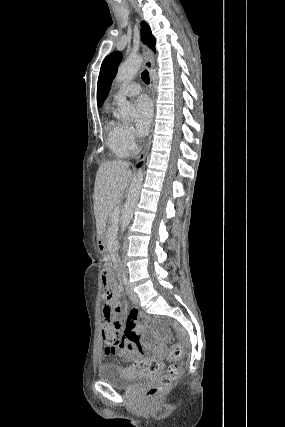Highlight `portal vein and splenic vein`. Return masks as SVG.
Returning <instances> with one entry per match:
<instances>
[{"label":"portal vein and splenic vein","instance_id":"portal-vein-and-splenic-vein-1","mask_svg":"<svg viewBox=\"0 0 285 427\" xmlns=\"http://www.w3.org/2000/svg\"><path fill=\"white\" fill-rule=\"evenodd\" d=\"M118 216H119V209L115 208L113 211V218L116 220L118 218Z\"/></svg>","mask_w":285,"mask_h":427}]
</instances>
